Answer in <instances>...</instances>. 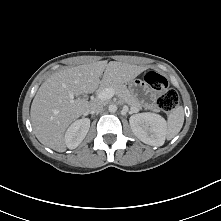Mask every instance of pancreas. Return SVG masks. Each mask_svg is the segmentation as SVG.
<instances>
[{
  "mask_svg": "<svg viewBox=\"0 0 221 221\" xmlns=\"http://www.w3.org/2000/svg\"><path fill=\"white\" fill-rule=\"evenodd\" d=\"M106 88H111L114 90V92L117 93V95L128 105L131 107H137L140 106L139 101L131 94V92L126 88L125 85L122 84H111V85H101L98 92H97V99L96 102L99 104H106V100H102L99 98V94ZM156 111H158L156 109Z\"/></svg>",
  "mask_w": 221,
  "mask_h": 221,
  "instance_id": "obj_1",
  "label": "pancreas"
}]
</instances>
